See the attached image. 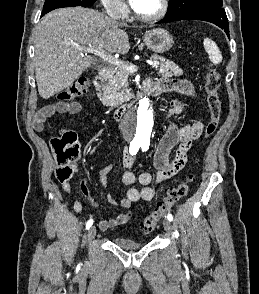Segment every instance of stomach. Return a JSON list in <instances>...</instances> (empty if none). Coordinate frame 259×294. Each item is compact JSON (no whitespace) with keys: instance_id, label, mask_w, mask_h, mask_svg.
I'll use <instances>...</instances> for the list:
<instances>
[{"instance_id":"0dacf381","label":"stomach","mask_w":259,"mask_h":294,"mask_svg":"<svg viewBox=\"0 0 259 294\" xmlns=\"http://www.w3.org/2000/svg\"><path fill=\"white\" fill-rule=\"evenodd\" d=\"M143 42L149 50L155 53H166L174 45L171 34L162 28L146 31Z\"/></svg>"}]
</instances>
